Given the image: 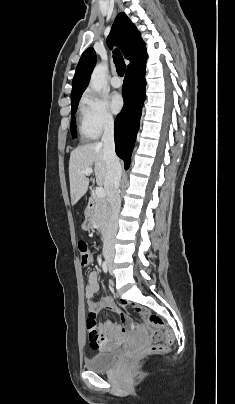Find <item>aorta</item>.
Wrapping results in <instances>:
<instances>
[{"mask_svg":"<svg viewBox=\"0 0 235 404\" xmlns=\"http://www.w3.org/2000/svg\"><path fill=\"white\" fill-rule=\"evenodd\" d=\"M106 72L107 67L102 63L97 64L94 68L90 79V86L94 91L99 93L104 88L106 84Z\"/></svg>","mask_w":235,"mask_h":404,"instance_id":"obj_1","label":"aorta"}]
</instances>
